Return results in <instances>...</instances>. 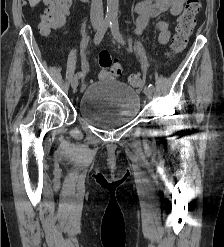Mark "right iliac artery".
Masks as SVG:
<instances>
[{
	"label": "right iliac artery",
	"instance_id": "82829eb1",
	"mask_svg": "<svg viewBox=\"0 0 224 247\" xmlns=\"http://www.w3.org/2000/svg\"><path fill=\"white\" fill-rule=\"evenodd\" d=\"M110 25H111V19L106 18L95 34V37H94V44L95 45H98L102 41L104 34L106 33V31ZM84 74H85V72H78L75 74V76L80 78V77L84 76Z\"/></svg>",
	"mask_w": 224,
	"mask_h": 247
}]
</instances>
